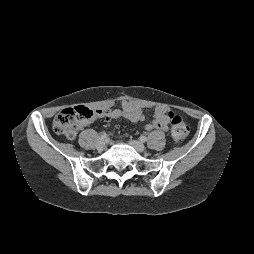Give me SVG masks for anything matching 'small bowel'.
I'll return each mask as SVG.
<instances>
[{
    "label": "small bowel",
    "instance_id": "1",
    "mask_svg": "<svg viewBox=\"0 0 254 254\" xmlns=\"http://www.w3.org/2000/svg\"><path fill=\"white\" fill-rule=\"evenodd\" d=\"M167 107L164 105H157L153 109V117L151 120H147L146 116L143 113V109L140 105L131 102V101H123L118 108L114 109H101L99 110V117L104 119L105 121H111L113 119L125 118L130 122L137 123L143 122L145 123V128L147 130H167L168 121L166 118ZM85 123L84 125L88 124Z\"/></svg>",
    "mask_w": 254,
    "mask_h": 254
}]
</instances>
